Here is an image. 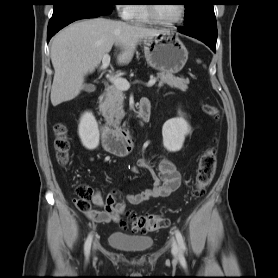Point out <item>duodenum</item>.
<instances>
[{
    "instance_id": "1",
    "label": "duodenum",
    "mask_w": 278,
    "mask_h": 278,
    "mask_svg": "<svg viewBox=\"0 0 278 278\" xmlns=\"http://www.w3.org/2000/svg\"><path fill=\"white\" fill-rule=\"evenodd\" d=\"M134 115L143 122H147L150 119L151 108L147 99L140 100L134 110ZM101 138L103 147L115 155H126L131 149L132 136L125 127L109 128L102 126Z\"/></svg>"
}]
</instances>
